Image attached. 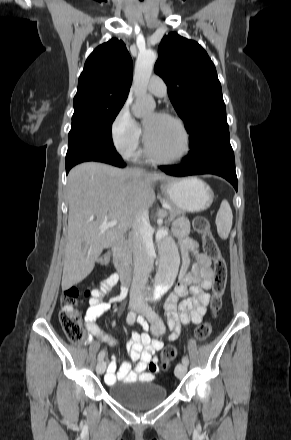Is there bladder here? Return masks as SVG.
<instances>
[{
  "mask_svg": "<svg viewBox=\"0 0 291 440\" xmlns=\"http://www.w3.org/2000/svg\"><path fill=\"white\" fill-rule=\"evenodd\" d=\"M109 396L121 405L139 408L164 401L167 397V389L157 383L135 379L119 384H111L109 386Z\"/></svg>",
  "mask_w": 291,
  "mask_h": 440,
  "instance_id": "31cf9c89",
  "label": "bladder"
}]
</instances>
